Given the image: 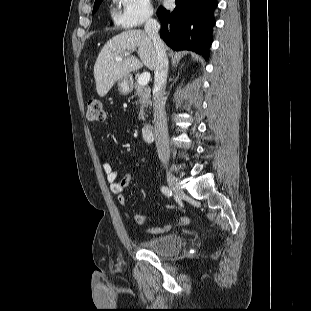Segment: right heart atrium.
Returning a JSON list of instances; mask_svg holds the SVG:
<instances>
[{
    "mask_svg": "<svg viewBox=\"0 0 311 311\" xmlns=\"http://www.w3.org/2000/svg\"><path fill=\"white\" fill-rule=\"evenodd\" d=\"M113 18L125 30H133L150 20L153 9L150 0H113Z\"/></svg>",
    "mask_w": 311,
    "mask_h": 311,
    "instance_id": "1",
    "label": "right heart atrium"
}]
</instances>
